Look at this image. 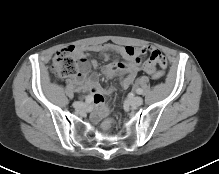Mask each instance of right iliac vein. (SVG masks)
Segmentation results:
<instances>
[{
	"mask_svg": "<svg viewBox=\"0 0 219 174\" xmlns=\"http://www.w3.org/2000/svg\"><path fill=\"white\" fill-rule=\"evenodd\" d=\"M73 106H74V108L80 110V109H84L85 108V103H83V102H74Z\"/></svg>",
	"mask_w": 219,
	"mask_h": 174,
	"instance_id": "right-iliac-vein-1",
	"label": "right iliac vein"
}]
</instances>
